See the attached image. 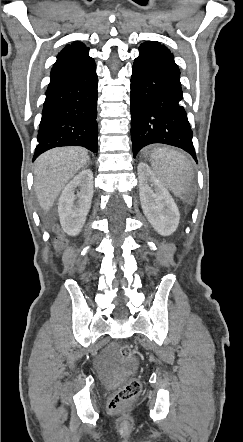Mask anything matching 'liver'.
Segmentation results:
<instances>
[{"mask_svg": "<svg viewBox=\"0 0 243 442\" xmlns=\"http://www.w3.org/2000/svg\"><path fill=\"white\" fill-rule=\"evenodd\" d=\"M82 147L51 149L38 157L34 165V189L42 210L47 213L68 181L89 162Z\"/></svg>", "mask_w": 243, "mask_h": 442, "instance_id": "1", "label": "liver"}]
</instances>
